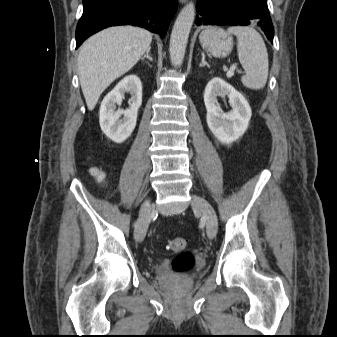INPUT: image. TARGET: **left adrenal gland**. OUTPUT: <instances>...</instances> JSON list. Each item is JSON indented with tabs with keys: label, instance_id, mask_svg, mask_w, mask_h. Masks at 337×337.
Returning a JSON list of instances; mask_svg holds the SVG:
<instances>
[{
	"label": "left adrenal gland",
	"instance_id": "obj_1",
	"mask_svg": "<svg viewBox=\"0 0 337 337\" xmlns=\"http://www.w3.org/2000/svg\"><path fill=\"white\" fill-rule=\"evenodd\" d=\"M202 54V61H201V63H200V67H203V66H207V67H209V65H208V63L205 61V55H204V53L202 52L201 53Z\"/></svg>",
	"mask_w": 337,
	"mask_h": 337
}]
</instances>
